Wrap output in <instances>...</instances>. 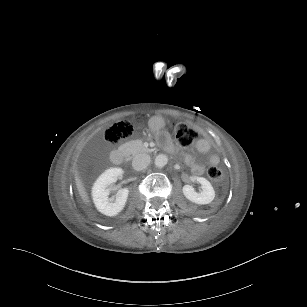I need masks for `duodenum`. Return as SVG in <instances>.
<instances>
[{
  "instance_id": "1",
  "label": "duodenum",
  "mask_w": 307,
  "mask_h": 307,
  "mask_svg": "<svg viewBox=\"0 0 307 307\" xmlns=\"http://www.w3.org/2000/svg\"><path fill=\"white\" fill-rule=\"evenodd\" d=\"M127 157L125 149H116L111 154L112 162L116 165H122Z\"/></svg>"
}]
</instances>
